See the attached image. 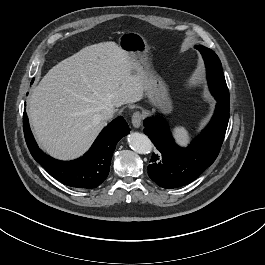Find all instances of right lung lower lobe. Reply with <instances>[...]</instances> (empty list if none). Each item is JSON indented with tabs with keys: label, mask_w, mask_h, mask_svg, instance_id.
I'll use <instances>...</instances> for the list:
<instances>
[{
	"label": "right lung lower lobe",
	"mask_w": 265,
	"mask_h": 265,
	"mask_svg": "<svg viewBox=\"0 0 265 265\" xmlns=\"http://www.w3.org/2000/svg\"><path fill=\"white\" fill-rule=\"evenodd\" d=\"M23 129L27 146L33 158L55 179L65 185L77 188H95L107 178L116 144L130 132L126 121L120 116L102 130L85 155L79 159L64 162L47 156L38 148L25 112L23 114Z\"/></svg>",
	"instance_id": "right-lung-lower-lobe-1"
}]
</instances>
